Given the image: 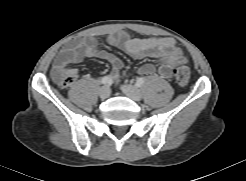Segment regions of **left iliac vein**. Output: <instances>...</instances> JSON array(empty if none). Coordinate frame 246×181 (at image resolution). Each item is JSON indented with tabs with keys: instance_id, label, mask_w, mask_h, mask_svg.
Wrapping results in <instances>:
<instances>
[{
	"instance_id": "4c4485c4",
	"label": "left iliac vein",
	"mask_w": 246,
	"mask_h": 181,
	"mask_svg": "<svg viewBox=\"0 0 246 181\" xmlns=\"http://www.w3.org/2000/svg\"><path fill=\"white\" fill-rule=\"evenodd\" d=\"M121 90L126 96H128L130 99L134 101H140L142 99L141 91L133 85L123 84L121 86Z\"/></svg>"
}]
</instances>
